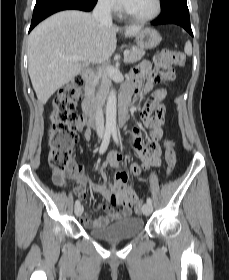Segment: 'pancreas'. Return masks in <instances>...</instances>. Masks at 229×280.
<instances>
[{
	"label": "pancreas",
	"instance_id": "cf45deb5",
	"mask_svg": "<svg viewBox=\"0 0 229 280\" xmlns=\"http://www.w3.org/2000/svg\"><path fill=\"white\" fill-rule=\"evenodd\" d=\"M145 55V50L138 48V47H132L130 50L129 56L126 58V63H135L142 59V57ZM97 83L94 82L92 86L90 87L89 93L91 96L96 98L104 99L106 97V94L109 90V87L111 86V81L108 77L104 76L102 77L100 86L98 87V90L96 91Z\"/></svg>",
	"mask_w": 229,
	"mask_h": 280
}]
</instances>
